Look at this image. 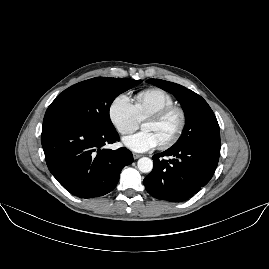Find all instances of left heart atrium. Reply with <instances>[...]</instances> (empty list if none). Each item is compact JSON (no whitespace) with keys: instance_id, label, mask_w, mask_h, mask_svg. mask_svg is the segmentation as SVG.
Segmentation results:
<instances>
[{"instance_id":"39dd6f15","label":"left heart atrium","mask_w":269,"mask_h":269,"mask_svg":"<svg viewBox=\"0 0 269 269\" xmlns=\"http://www.w3.org/2000/svg\"><path fill=\"white\" fill-rule=\"evenodd\" d=\"M123 144L135 152H145L157 148L159 142L152 132L142 131L123 139Z\"/></svg>"}]
</instances>
